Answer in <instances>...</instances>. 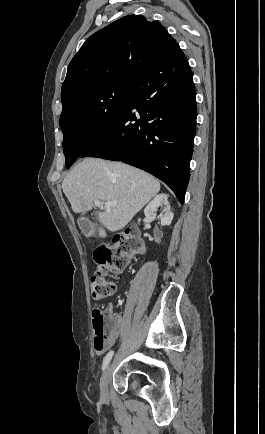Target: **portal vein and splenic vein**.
I'll use <instances>...</instances> for the list:
<instances>
[{
  "label": "portal vein and splenic vein",
  "mask_w": 265,
  "mask_h": 434,
  "mask_svg": "<svg viewBox=\"0 0 265 434\" xmlns=\"http://www.w3.org/2000/svg\"><path fill=\"white\" fill-rule=\"evenodd\" d=\"M94 204L97 206V208H102V210H110L111 206H115V204H118V202H116V200H114V202H105L103 206V202H100V200H95Z\"/></svg>",
  "instance_id": "18ae733b"
}]
</instances>
